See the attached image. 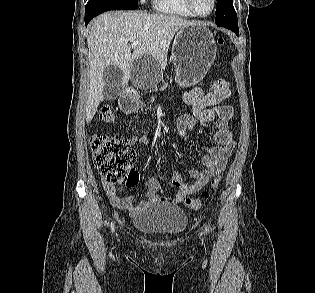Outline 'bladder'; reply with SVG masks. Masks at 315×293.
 Returning <instances> with one entry per match:
<instances>
[{
	"instance_id": "1",
	"label": "bladder",
	"mask_w": 315,
	"mask_h": 293,
	"mask_svg": "<svg viewBox=\"0 0 315 293\" xmlns=\"http://www.w3.org/2000/svg\"><path fill=\"white\" fill-rule=\"evenodd\" d=\"M187 224L188 217L180 207L163 202L149 204L133 219L140 233L168 238L182 234Z\"/></svg>"
}]
</instances>
